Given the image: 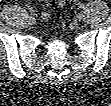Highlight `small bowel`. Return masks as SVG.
I'll use <instances>...</instances> for the list:
<instances>
[{
	"label": "small bowel",
	"mask_w": 111,
	"mask_h": 106,
	"mask_svg": "<svg viewBox=\"0 0 111 106\" xmlns=\"http://www.w3.org/2000/svg\"><path fill=\"white\" fill-rule=\"evenodd\" d=\"M65 4H66V1L65 0H58V1H56V5L58 6V7H63V6H65ZM51 14H52V11L51 10H45L42 14H41V16H42V18L43 19H49L50 17H51Z\"/></svg>",
	"instance_id": "small-bowel-1"
}]
</instances>
